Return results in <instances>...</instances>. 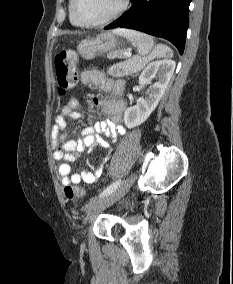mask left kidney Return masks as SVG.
Masks as SVG:
<instances>
[{
  "label": "left kidney",
  "instance_id": "1",
  "mask_svg": "<svg viewBox=\"0 0 233 284\" xmlns=\"http://www.w3.org/2000/svg\"><path fill=\"white\" fill-rule=\"evenodd\" d=\"M176 63L171 59L153 61L149 63L139 76V84H151V80L157 81L150 85L148 95L137 100L135 106L129 107L124 113V123L127 128H134L147 120L157 107L165 89L174 73Z\"/></svg>",
  "mask_w": 233,
  "mask_h": 284
}]
</instances>
